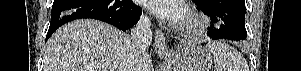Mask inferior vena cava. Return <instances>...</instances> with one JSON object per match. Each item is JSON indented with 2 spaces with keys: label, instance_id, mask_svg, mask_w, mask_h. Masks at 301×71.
Segmentation results:
<instances>
[{
  "label": "inferior vena cava",
  "instance_id": "inferior-vena-cava-1",
  "mask_svg": "<svg viewBox=\"0 0 301 71\" xmlns=\"http://www.w3.org/2000/svg\"><path fill=\"white\" fill-rule=\"evenodd\" d=\"M151 21L147 16H141L131 30L132 51L125 71H144L142 56L146 55L152 41Z\"/></svg>",
  "mask_w": 301,
  "mask_h": 71
}]
</instances>
